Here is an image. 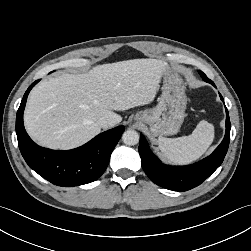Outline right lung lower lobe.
Returning <instances> with one entry per match:
<instances>
[{"label": "right lung lower lobe", "mask_w": 251, "mask_h": 251, "mask_svg": "<svg viewBox=\"0 0 251 251\" xmlns=\"http://www.w3.org/2000/svg\"><path fill=\"white\" fill-rule=\"evenodd\" d=\"M38 81L25 92L16 116V134L23 158L36 173L58 186L72 187L95 181L107 168L124 127L105 131L72 150L56 151L38 146L28 136L23 124L27 96Z\"/></svg>", "instance_id": "98d812e1"}]
</instances>
